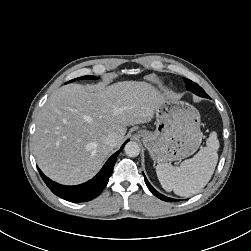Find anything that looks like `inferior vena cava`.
I'll list each match as a JSON object with an SVG mask.
<instances>
[{
    "label": "inferior vena cava",
    "instance_id": "602c4592",
    "mask_svg": "<svg viewBox=\"0 0 251 251\" xmlns=\"http://www.w3.org/2000/svg\"><path fill=\"white\" fill-rule=\"evenodd\" d=\"M117 135L115 133H111L106 138V143L110 146H115L116 144Z\"/></svg>",
    "mask_w": 251,
    "mask_h": 251
}]
</instances>
